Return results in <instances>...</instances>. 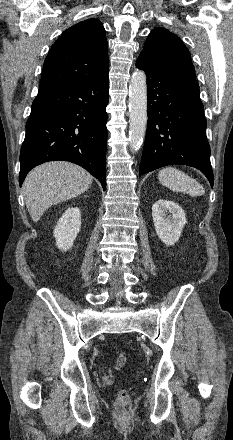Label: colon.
Masks as SVG:
<instances>
[{
	"mask_svg": "<svg viewBox=\"0 0 233 440\" xmlns=\"http://www.w3.org/2000/svg\"><path fill=\"white\" fill-rule=\"evenodd\" d=\"M127 362V357L125 354L123 353H119L116 356L115 359V366L118 370H121L122 368H124V366L126 365ZM115 406L116 409L119 411H128L130 406H131V400H130V395L129 392L126 389H122L117 397H116V401H115Z\"/></svg>",
	"mask_w": 233,
	"mask_h": 440,
	"instance_id": "obj_1",
	"label": "colon"
}]
</instances>
